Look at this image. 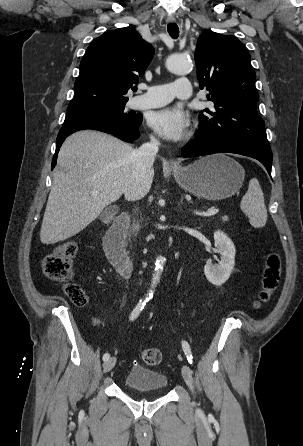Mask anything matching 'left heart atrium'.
Returning a JSON list of instances; mask_svg holds the SVG:
<instances>
[{"label": "left heart atrium", "instance_id": "obj_1", "mask_svg": "<svg viewBox=\"0 0 303 446\" xmlns=\"http://www.w3.org/2000/svg\"><path fill=\"white\" fill-rule=\"evenodd\" d=\"M148 124L162 137L169 140H180L188 131V116L178 107H166L152 112Z\"/></svg>", "mask_w": 303, "mask_h": 446}]
</instances>
